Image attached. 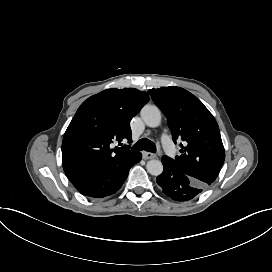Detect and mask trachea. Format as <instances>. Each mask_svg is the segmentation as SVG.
I'll list each match as a JSON object with an SVG mask.
<instances>
[{"mask_svg":"<svg viewBox=\"0 0 272 272\" xmlns=\"http://www.w3.org/2000/svg\"><path fill=\"white\" fill-rule=\"evenodd\" d=\"M132 150H146L148 152H156L155 144L148 139H140L132 146Z\"/></svg>","mask_w":272,"mask_h":272,"instance_id":"trachea-1","label":"trachea"}]
</instances>
